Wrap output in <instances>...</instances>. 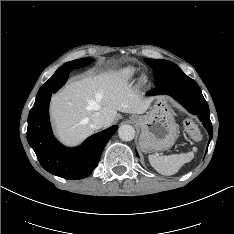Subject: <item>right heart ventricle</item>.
Segmentation results:
<instances>
[{"mask_svg":"<svg viewBox=\"0 0 234 234\" xmlns=\"http://www.w3.org/2000/svg\"><path fill=\"white\" fill-rule=\"evenodd\" d=\"M133 74H134V71H132V70H129V71L126 72V76L129 77V78L132 77Z\"/></svg>","mask_w":234,"mask_h":234,"instance_id":"1","label":"right heart ventricle"}]
</instances>
